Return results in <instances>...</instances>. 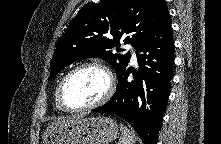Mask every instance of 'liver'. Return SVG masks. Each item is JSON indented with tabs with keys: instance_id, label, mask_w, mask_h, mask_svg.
Returning a JSON list of instances; mask_svg holds the SVG:
<instances>
[{
	"instance_id": "6515ba94",
	"label": "liver",
	"mask_w": 221,
	"mask_h": 144,
	"mask_svg": "<svg viewBox=\"0 0 221 144\" xmlns=\"http://www.w3.org/2000/svg\"><path fill=\"white\" fill-rule=\"evenodd\" d=\"M81 116H75L72 118H67V119H60L57 121H54L50 125H48L45 133L43 134V140H45L48 136L53 135L56 131L68 126L69 124L76 122L77 120L81 119Z\"/></svg>"
}]
</instances>
